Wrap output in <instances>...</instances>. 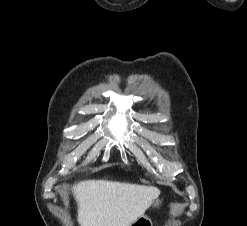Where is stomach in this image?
<instances>
[{
    "mask_svg": "<svg viewBox=\"0 0 247 226\" xmlns=\"http://www.w3.org/2000/svg\"><path fill=\"white\" fill-rule=\"evenodd\" d=\"M162 204H163V199H160L157 197L153 201L152 206L160 207ZM130 226H152V221L146 215L143 214L136 221H134Z\"/></svg>",
    "mask_w": 247,
    "mask_h": 226,
    "instance_id": "1",
    "label": "stomach"
}]
</instances>
